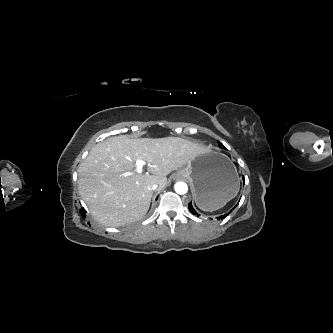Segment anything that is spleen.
<instances>
[{"instance_id": "obj_1", "label": "spleen", "mask_w": 333, "mask_h": 333, "mask_svg": "<svg viewBox=\"0 0 333 333\" xmlns=\"http://www.w3.org/2000/svg\"><path fill=\"white\" fill-rule=\"evenodd\" d=\"M238 191H239V184H238V188H237L235 196L237 195ZM222 207L223 206H220V207H217V208L206 209L205 211H211L212 212V211H216V210H218V209H220Z\"/></svg>"}]
</instances>
